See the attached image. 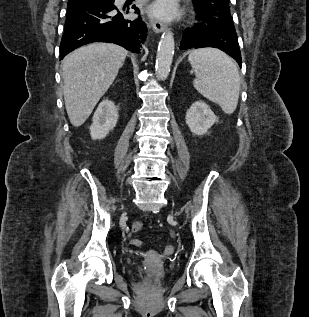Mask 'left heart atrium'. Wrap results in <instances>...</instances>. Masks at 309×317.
I'll return each instance as SVG.
<instances>
[{"label":"left heart atrium","mask_w":309,"mask_h":317,"mask_svg":"<svg viewBox=\"0 0 309 317\" xmlns=\"http://www.w3.org/2000/svg\"><path fill=\"white\" fill-rule=\"evenodd\" d=\"M150 12L161 19L170 20L179 15L176 0H155L150 8Z\"/></svg>","instance_id":"1"}]
</instances>
